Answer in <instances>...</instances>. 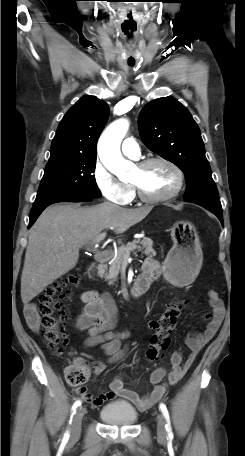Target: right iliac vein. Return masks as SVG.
I'll return each instance as SVG.
<instances>
[{
	"label": "right iliac vein",
	"mask_w": 245,
	"mask_h": 456,
	"mask_svg": "<svg viewBox=\"0 0 245 456\" xmlns=\"http://www.w3.org/2000/svg\"><path fill=\"white\" fill-rule=\"evenodd\" d=\"M84 414H85V409L79 408V409H77V411L74 415L72 426L70 429V438L72 441L77 440L80 436L81 424H82V419H83Z\"/></svg>",
	"instance_id": "obj_1"
}]
</instances>
